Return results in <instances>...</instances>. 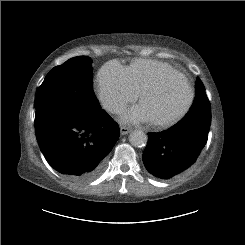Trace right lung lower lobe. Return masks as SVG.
<instances>
[{
    "instance_id": "obj_1",
    "label": "right lung lower lobe",
    "mask_w": 245,
    "mask_h": 245,
    "mask_svg": "<svg viewBox=\"0 0 245 245\" xmlns=\"http://www.w3.org/2000/svg\"><path fill=\"white\" fill-rule=\"evenodd\" d=\"M48 163L75 181H89L104 169L119 138L118 124L101 108L60 115L37 128Z\"/></svg>"
}]
</instances>
